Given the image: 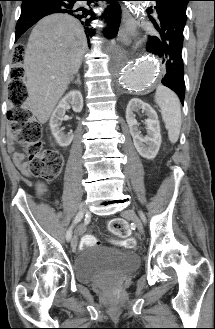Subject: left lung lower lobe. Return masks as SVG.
<instances>
[{
  "mask_svg": "<svg viewBox=\"0 0 215 329\" xmlns=\"http://www.w3.org/2000/svg\"><path fill=\"white\" fill-rule=\"evenodd\" d=\"M155 9L158 22L152 21L159 35L149 38L147 49L165 64L166 74L162 78V84L172 89L183 104L185 82L182 47L186 21L164 7L156 5Z\"/></svg>",
  "mask_w": 215,
  "mask_h": 329,
  "instance_id": "obj_1",
  "label": "left lung lower lobe"
}]
</instances>
